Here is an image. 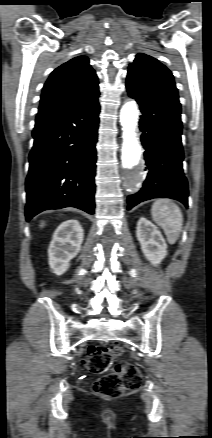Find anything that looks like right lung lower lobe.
<instances>
[{
  "label": "right lung lower lobe",
  "mask_w": 212,
  "mask_h": 438,
  "mask_svg": "<svg viewBox=\"0 0 212 438\" xmlns=\"http://www.w3.org/2000/svg\"><path fill=\"white\" fill-rule=\"evenodd\" d=\"M98 98L38 113L26 178V220L47 209L76 207L94 214Z\"/></svg>",
  "instance_id": "right-lung-lower-lobe-1"
}]
</instances>
